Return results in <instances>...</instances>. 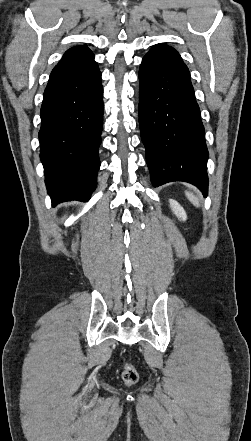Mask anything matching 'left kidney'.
Returning <instances> with one entry per match:
<instances>
[{"mask_svg":"<svg viewBox=\"0 0 251 441\" xmlns=\"http://www.w3.org/2000/svg\"><path fill=\"white\" fill-rule=\"evenodd\" d=\"M170 207L173 211V213L182 221H185L187 219V215L183 207L175 200L170 199Z\"/></svg>","mask_w":251,"mask_h":441,"instance_id":"5707ae66","label":"left kidney"}]
</instances>
